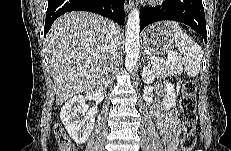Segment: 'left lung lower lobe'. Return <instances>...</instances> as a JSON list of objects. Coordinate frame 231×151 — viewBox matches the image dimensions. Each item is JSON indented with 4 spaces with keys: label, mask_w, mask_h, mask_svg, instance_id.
<instances>
[{
    "label": "left lung lower lobe",
    "mask_w": 231,
    "mask_h": 151,
    "mask_svg": "<svg viewBox=\"0 0 231 151\" xmlns=\"http://www.w3.org/2000/svg\"><path fill=\"white\" fill-rule=\"evenodd\" d=\"M165 1L162 6L141 8L140 31L154 22L162 20L179 21L201 34L206 43L207 30L202 0H178L173 6L168 5Z\"/></svg>",
    "instance_id": "obj_1"
}]
</instances>
